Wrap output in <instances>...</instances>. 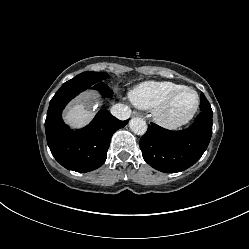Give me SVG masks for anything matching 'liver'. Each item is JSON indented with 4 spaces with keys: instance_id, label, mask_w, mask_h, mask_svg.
<instances>
[{
    "instance_id": "obj_1",
    "label": "liver",
    "mask_w": 249,
    "mask_h": 249,
    "mask_svg": "<svg viewBox=\"0 0 249 249\" xmlns=\"http://www.w3.org/2000/svg\"><path fill=\"white\" fill-rule=\"evenodd\" d=\"M97 105L93 97L87 94L68 107L64 116L65 121L73 127H82L91 121L96 107L93 110L91 108Z\"/></svg>"
}]
</instances>
